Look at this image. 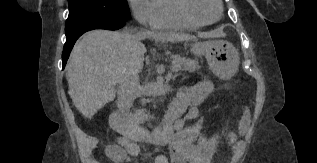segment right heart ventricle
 Segmentation results:
<instances>
[{"label":"right heart ventricle","mask_w":317,"mask_h":163,"mask_svg":"<svg viewBox=\"0 0 317 163\" xmlns=\"http://www.w3.org/2000/svg\"><path fill=\"white\" fill-rule=\"evenodd\" d=\"M156 17L152 28L154 29H195L200 25L182 20L174 9V0H155Z\"/></svg>","instance_id":"e07e8e85"}]
</instances>
